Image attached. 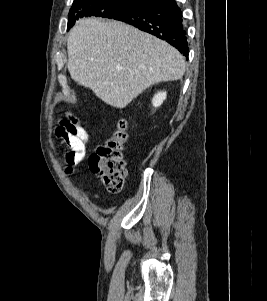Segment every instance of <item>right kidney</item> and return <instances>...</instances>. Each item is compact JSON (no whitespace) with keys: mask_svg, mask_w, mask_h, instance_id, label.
<instances>
[{"mask_svg":"<svg viewBox=\"0 0 267 301\" xmlns=\"http://www.w3.org/2000/svg\"><path fill=\"white\" fill-rule=\"evenodd\" d=\"M165 99H166V92H159L152 99V104L155 108H157L163 103Z\"/></svg>","mask_w":267,"mask_h":301,"instance_id":"right-kidney-1","label":"right kidney"}]
</instances>
